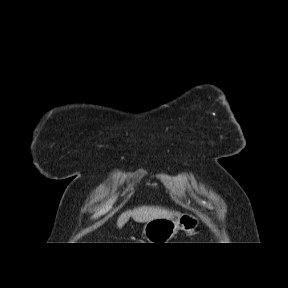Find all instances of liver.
I'll return each instance as SVG.
<instances>
[{"label":"liver","mask_w":288,"mask_h":288,"mask_svg":"<svg viewBox=\"0 0 288 288\" xmlns=\"http://www.w3.org/2000/svg\"><path fill=\"white\" fill-rule=\"evenodd\" d=\"M178 212L169 211L162 207L141 206L132 211L122 213L117 220V227L122 228L132 217L138 223H144L157 218H173L178 216Z\"/></svg>","instance_id":"6515ba94"}]
</instances>
